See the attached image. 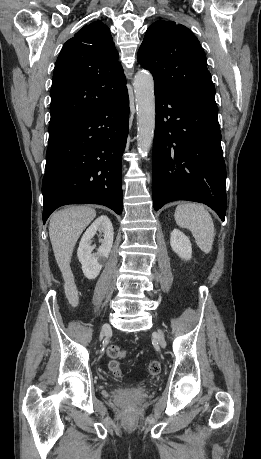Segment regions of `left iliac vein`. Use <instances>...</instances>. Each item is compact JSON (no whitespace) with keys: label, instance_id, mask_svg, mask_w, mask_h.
Instances as JSON below:
<instances>
[{"label":"left iliac vein","instance_id":"left-iliac-vein-1","mask_svg":"<svg viewBox=\"0 0 261 459\" xmlns=\"http://www.w3.org/2000/svg\"><path fill=\"white\" fill-rule=\"evenodd\" d=\"M158 339H159L160 345L164 347L166 342H165L164 334L161 330L158 331Z\"/></svg>","mask_w":261,"mask_h":459}]
</instances>
